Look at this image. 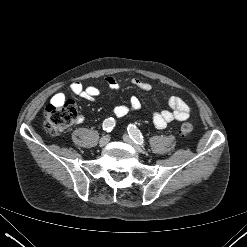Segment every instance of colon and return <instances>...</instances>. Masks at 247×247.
Wrapping results in <instances>:
<instances>
[{"mask_svg":"<svg viewBox=\"0 0 247 247\" xmlns=\"http://www.w3.org/2000/svg\"><path fill=\"white\" fill-rule=\"evenodd\" d=\"M76 117L77 110L73 102L51 103L44 112V127L51 135H59L76 120ZM180 131L183 135H188L193 131V125L185 122Z\"/></svg>","mask_w":247,"mask_h":247,"instance_id":"1","label":"colon"}]
</instances>
